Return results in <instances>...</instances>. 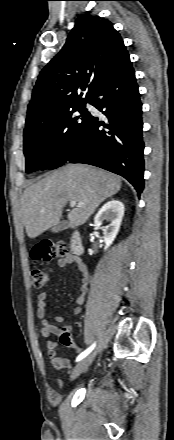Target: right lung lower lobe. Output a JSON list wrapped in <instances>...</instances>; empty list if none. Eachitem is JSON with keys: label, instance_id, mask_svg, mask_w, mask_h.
I'll return each mask as SVG.
<instances>
[{"label": "right lung lower lobe", "instance_id": "right-lung-lower-lobe-1", "mask_svg": "<svg viewBox=\"0 0 174 440\" xmlns=\"http://www.w3.org/2000/svg\"><path fill=\"white\" fill-rule=\"evenodd\" d=\"M89 103L103 116L89 114L86 128L66 161L121 175L140 194L144 187L142 104L130 60L102 81Z\"/></svg>", "mask_w": 174, "mask_h": 440}]
</instances>
